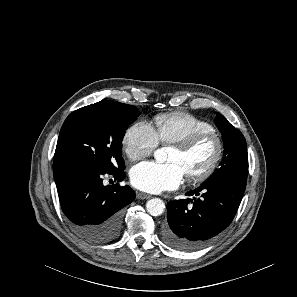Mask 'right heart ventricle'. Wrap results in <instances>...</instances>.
Returning a JSON list of instances; mask_svg holds the SVG:
<instances>
[{
	"label": "right heart ventricle",
	"instance_id": "right-heart-ventricle-1",
	"mask_svg": "<svg viewBox=\"0 0 297 297\" xmlns=\"http://www.w3.org/2000/svg\"><path fill=\"white\" fill-rule=\"evenodd\" d=\"M158 142L170 145L192 134L214 130L211 123L185 112L158 114L154 118Z\"/></svg>",
	"mask_w": 297,
	"mask_h": 297
}]
</instances>
